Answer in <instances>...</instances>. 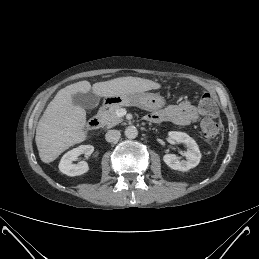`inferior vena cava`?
I'll return each instance as SVG.
<instances>
[{"instance_id":"1","label":"inferior vena cava","mask_w":259,"mask_h":259,"mask_svg":"<svg viewBox=\"0 0 259 259\" xmlns=\"http://www.w3.org/2000/svg\"><path fill=\"white\" fill-rule=\"evenodd\" d=\"M120 131L118 130H109L105 135V139L107 142H114L120 138Z\"/></svg>"}]
</instances>
